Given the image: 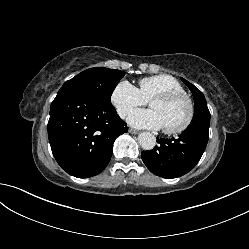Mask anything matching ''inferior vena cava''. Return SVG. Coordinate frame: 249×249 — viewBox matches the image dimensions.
Instances as JSON below:
<instances>
[{
  "mask_svg": "<svg viewBox=\"0 0 249 249\" xmlns=\"http://www.w3.org/2000/svg\"><path fill=\"white\" fill-rule=\"evenodd\" d=\"M121 117H123V118H124V117H125V113H121Z\"/></svg>",
  "mask_w": 249,
  "mask_h": 249,
  "instance_id": "1",
  "label": "inferior vena cava"
}]
</instances>
